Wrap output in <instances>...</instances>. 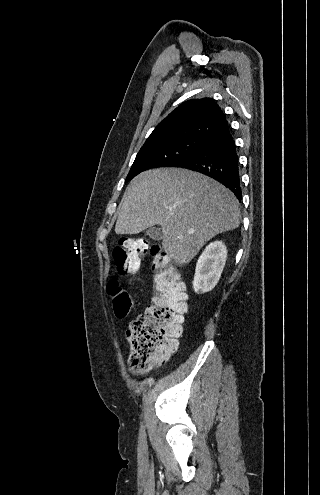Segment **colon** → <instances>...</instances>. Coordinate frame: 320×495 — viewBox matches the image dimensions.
Here are the masks:
<instances>
[{
    "label": "colon",
    "instance_id": "obj_1",
    "mask_svg": "<svg viewBox=\"0 0 320 495\" xmlns=\"http://www.w3.org/2000/svg\"><path fill=\"white\" fill-rule=\"evenodd\" d=\"M154 255L153 284L155 294L144 314L134 318L126 338L130 344L129 368L134 373H145L161 364L177 348L187 311L186 293L178 273L157 246L143 238H122L114 248L119 274L138 272L143 257ZM115 314L126 317L132 307V298L116 280L108 284Z\"/></svg>",
    "mask_w": 320,
    "mask_h": 495
}]
</instances>
